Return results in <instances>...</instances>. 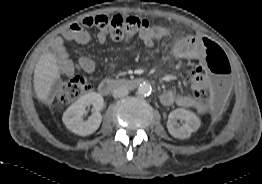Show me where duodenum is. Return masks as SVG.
Here are the masks:
<instances>
[{"label":"duodenum","mask_w":262,"mask_h":184,"mask_svg":"<svg viewBox=\"0 0 262 184\" xmlns=\"http://www.w3.org/2000/svg\"><path fill=\"white\" fill-rule=\"evenodd\" d=\"M145 82L143 78L104 79L98 85L102 95H109L116 88H134Z\"/></svg>","instance_id":"obj_1"}]
</instances>
